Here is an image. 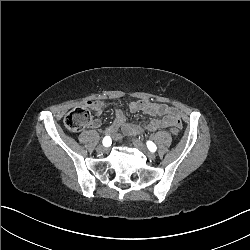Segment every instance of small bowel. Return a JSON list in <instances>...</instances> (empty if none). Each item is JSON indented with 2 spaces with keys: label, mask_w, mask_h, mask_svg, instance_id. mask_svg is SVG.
Instances as JSON below:
<instances>
[{
  "label": "small bowel",
  "mask_w": 250,
  "mask_h": 250,
  "mask_svg": "<svg viewBox=\"0 0 250 250\" xmlns=\"http://www.w3.org/2000/svg\"><path fill=\"white\" fill-rule=\"evenodd\" d=\"M86 107L91 109L96 115H99L105 109V104L101 101H88ZM130 110L132 113L142 111L149 115L159 116L160 118L143 121L141 126L126 122V117L122 110L115 109L114 120L112 124L106 127L102 132L106 135H111L115 140H121L119 130H123L130 136L140 135L142 130L156 131L165 128H171L173 125L182 127L181 115L179 111L167 104L155 103L149 101H137L131 104ZM101 126L99 119H94L90 122L89 127L97 129Z\"/></svg>",
  "instance_id": "c3829d8e"
}]
</instances>
